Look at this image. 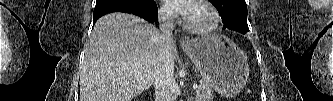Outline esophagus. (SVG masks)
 Wrapping results in <instances>:
<instances>
[{
    "instance_id": "1",
    "label": "esophagus",
    "mask_w": 333,
    "mask_h": 101,
    "mask_svg": "<svg viewBox=\"0 0 333 101\" xmlns=\"http://www.w3.org/2000/svg\"><path fill=\"white\" fill-rule=\"evenodd\" d=\"M179 42H180V45H181L182 47H188V46L191 45V40H190V38L187 37V36H182V37L180 38Z\"/></svg>"
}]
</instances>
